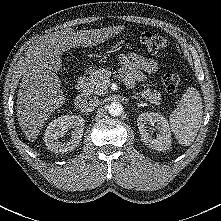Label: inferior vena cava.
<instances>
[{
	"label": "inferior vena cava",
	"mask_w": 221,
	"mask_h": 221,
	"mask_svg": "<svg viewBox=\"0 0 221 221\" xmlns=\"http://www.w3.org/2000/svg\"><path fill=\"white\" fill-rule=\"evenodd\" d=\"M101 104V100L97 98H92L89 101H86L82 105V110L84 112H91L96 109Z\"/></svg>",
	"instance_id": "inferior-vena-cava-1"
}]
</instances>
